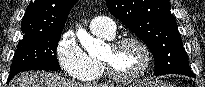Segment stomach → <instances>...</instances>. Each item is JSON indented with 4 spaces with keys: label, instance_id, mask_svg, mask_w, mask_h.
<instances>
[{
    "label": "stomach",
    "instance_id": "0dacf381",
    "mask_svg": "<svg viewBox=\"0 0 205 87\" xmlns=\"http://www.w3.org/2000/svg\"><path fill=\"white\" fill-rule=\"evenodd\" d=\"M130 87H168V84L163 82H151L148 80L138 81Z\"/></svg>",
    "mask_w": 205,
    "mask_h": 87
}]
</instances>
